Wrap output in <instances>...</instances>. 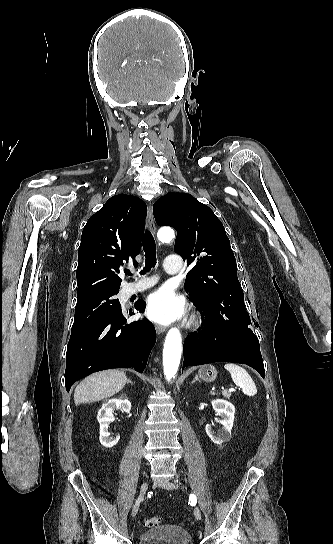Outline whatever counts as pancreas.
I'll use <instances>...</instances> for the list:
<instances>
[{
    "instance_id": "obj_1",
    "label": "pancreas",
    "mask_w": 333,
    "mask_h": 544,
    "mask_svg": "<svg viewBox=\"0 0 333 544\" xmlns=\"http://www.w3.org/2000/svg\"><path fill=\"white\" fill-rule=\"evenodd\" d=\"M223 396L226 397V398H229L231 396V393L230 392H223Z\"/></svg>"
}]
</instances>
